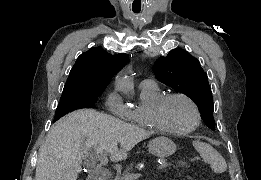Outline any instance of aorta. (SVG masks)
Wrapping results in <instances>:
<instances>
[{"label": "aorta", "mask_w": 261, "mask_h": 180, "mask_svg": "<svg viewBox=\"0 0 261 180\" xmlns=\"http://www.w3.org/2000/svg\"><path fill=\"white\" fill-rule=\"evenodd\" d=\"M116 83L119 91L126 95L133 91V83L127 76L118 77Z\"/></svg>", "instance_id": "1"}]
</instances>
